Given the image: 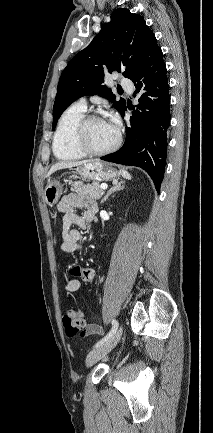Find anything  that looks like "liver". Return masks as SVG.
<instances>
[{"label":"liver","instance_id":"obj_1","mask_svg":"<svg viewBox=\"0 0 213 433\" xmlns=\"http://www.w3.org/2000/svg\"><path fill=\"white\" fill-rule=\"evenodd\" d=\"M92 161L93 160H84V161H78V162H59V163H56L55 165H53L51 167V169L49 170L47 176L52 175L57 170L80 166V165H83V164H86V163H89V162H92Z\"/></svg>","mask_w":213,"mask_h":433}]
</instances>
